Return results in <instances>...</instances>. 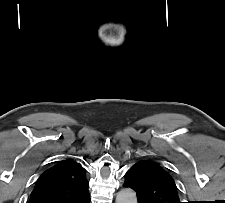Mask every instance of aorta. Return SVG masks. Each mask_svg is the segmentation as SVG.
Listing matches in <instances>:
<instances>
[{
    "mask_svg": "<svg viewBox=\"0 0 225 203\" xmlns=\"http://www.w3.org/2000/svg\"><path fill=\"white\" fill-rule=\"evenodd\" d=\"M116 203H137L136 193L129 188H124L118 192Z\"/></svg>",
    "mask_w": 225,
    "mask_h": 203,
    "instance_id": "762f6f07",
    "label": "aorta"
}]
</instances>
